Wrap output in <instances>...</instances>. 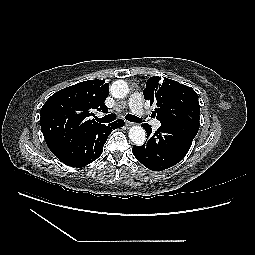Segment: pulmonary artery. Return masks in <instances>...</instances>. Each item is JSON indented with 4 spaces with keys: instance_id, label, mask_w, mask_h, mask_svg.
<instances>
[{
    "instance_id": "1",
    "label": "pulmonary artery",
    "mask_w": 255,
    "mask_h": 255,
    "mask_svg": "<svg viewBox=\"0 0 255 255\" xmlns=\"http://www.w3.org/2000/svg\"><path fill=\"white\" fill-rule=\"evenodd\" d=\"M128 106L131 111L138 116L148 117V112L143 108V96L139 92H133L128 98ZM153 127L158 129L160 127V123L158 121L153 122Z\"/></svg>"
}]
</instances>
